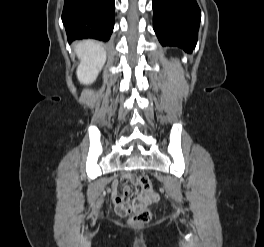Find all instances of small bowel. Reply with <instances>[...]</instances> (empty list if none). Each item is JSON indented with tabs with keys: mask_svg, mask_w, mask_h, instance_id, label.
<instances>
[{
	"mask_svg": "<svg viewBox=\"0 0 264 247\" xmlns=\"http://www.w3.org/2000/svg\"><path fill=\"white\" fill-rule=\"evenodd\" d=\"M130 176L128 174L124 175L121 179V182L123 184H126L129 180ZM119 188V184L117 182L113 183L112 185V197H113V201L115 203L116 206H118V202L125 199L128 192H129V187L125 186L122 190V192L118 191Z\"/></svg>",
	"mask_w": 264,
	"mask_h": 247,
	"instance_id": "small-bowel-1",
	"label": "small bowel"
}]
</instances>
